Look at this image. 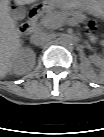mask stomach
Returning a JSON list of instances; mask_svg holds the SVG:
<instances>
[{
    "instance_id": "stomach-1",
    "label": "stomach",
    "mask_w": 104,
    "mask_h": 137,
    "mask_svg": "<svg viewBox=\"0 0 104 137\" xmlns=\"http://www.w3.org/2000/svg\"><path fill=\"white\" fill-rule=\"evenodd\" d=\"M52 5H55L64 9L77 8L83 11H87L91 14L99 13L103 8V0H74L70 4H59L57 2L50 1Z\"/></svg>"
}]
</instances>
